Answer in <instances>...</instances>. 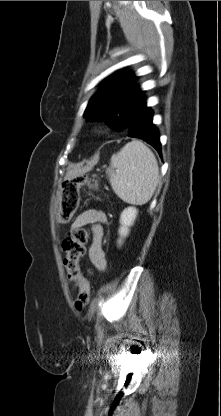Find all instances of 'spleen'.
<instances>
[{
  "instance_id": "obj_1",
  "label": "spleen",
  "mask_w": 221,
  "mask_h": 416,
  "mask_svg": "<svg viewBox=\"0 0 221 416\" xmlns=\"http://www.w3.org/2000/svg\"><path fill=\"white\" fill-rule=\"evenodd\" d=\"M113 191L129 204L143 205L159 182V167L153 152L141 141L132 140L111 157L108 171Z\"/></svg>"
}]
</instances>
